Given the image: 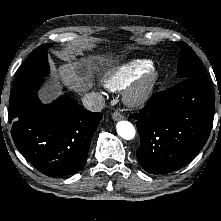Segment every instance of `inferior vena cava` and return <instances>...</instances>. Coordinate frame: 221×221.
<instances>
[{
  "label": "inferior vena cava",
  "instance_id": "obj_1",
  "mask_svg": "<svg viewBox=\"0 0 221 221\" xmlns=\"http://www.w3.org/2000/svg\"><path fill=\"white\" fill-rule=\"evenodd\" d=\"M82 103L87 110L99 112L105 107L104 97L99 93H88L82 98Z\"/></svg>",
  "mask_w": 221,
  "mask_h": 221
}]
</instances>
